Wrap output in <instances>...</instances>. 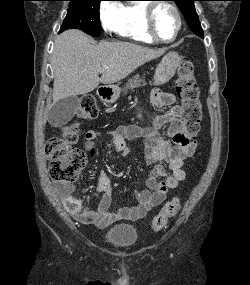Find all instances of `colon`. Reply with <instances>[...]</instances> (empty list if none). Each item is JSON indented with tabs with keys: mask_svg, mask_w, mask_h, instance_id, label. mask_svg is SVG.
<instances>
[{
	"mask_svg": "<svg viewBox=\"0 0 250 285\" xmlns=\"http://www.w3.org/2000/svg\"><path fill=\"white\" fill-rule=\"evenodd\" d=\"M177 94L181 100L180 120L186 136L193 139L199 131L202 118L199 87L194 77L192 61H183L178 68L176 81ZM98 115L94 99L86 96L81 99L77 116L82 120H91ZM77 124L65 127L61 137H53L47 143V157L52 179L60 183H72L85 166L86 156L75 147L77 142ZM180 201L173 198L167 201L152 220V229H163L168 221L180 210Z\"/></svg>",
	"mask_w": 250,
	"mask_h": 285,
	"instance_id": "colon-1",
	"label": "colon"
}]
</instances>
